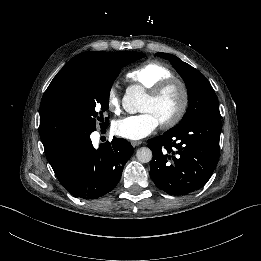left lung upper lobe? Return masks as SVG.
Masks as SVG:
<instances>
[{"label": "left lung upper lobe", "instance_id": "1", "mask_svg": "<svg viewBox=\"0 0 261 261\" xmlns=\"http://www.w3.org/2000/svg\"><path fill=\"white\" fill-rule=\"evenodd\" d=\"M157 56L167 59L183 78L187 90L189 107L181 123L172 131H177L200 118L220 120L217 96L205 76L194 67L168 53H156Z\"/></svg>", "mask_w": 261, "mask_h": 261}]
</instances>
